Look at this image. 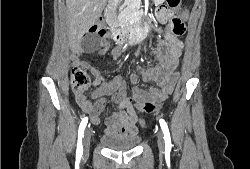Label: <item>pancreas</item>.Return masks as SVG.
Segmentation results:
<instances>
[{
    "instance_id": "1",
    "label": "pancreas",
    "mask_w": 250,
    "mask_h": 169,
    "mask_svg": "<svg viewBox=\"0 0 250 169\" xmlns=\"http://www.w3.org/2000/svg\"><path fill=\"white\" fill-rule=\"evenodd\" d=\"M135 4V0H125V2H123V6H126V8H133Z\"/></svg>"
}]
</instances>
